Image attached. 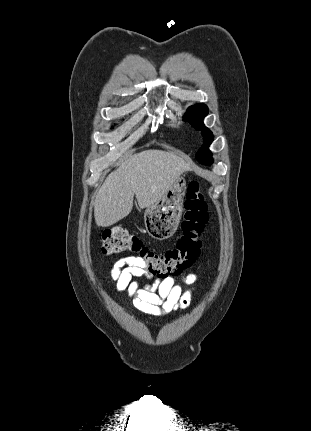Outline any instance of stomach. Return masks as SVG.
Instances as JSON below:
<instances>
[{
    "instance_id": "stomach-1",
    "label": "stomach",
    "mask_w": 311,
    "mask_h": 431,
    "mask_svg": "<svg viewBox=\"0 0 311 431\" xmlns=\"http://www.w3.org/2000/svg\"><path fill=\"white\" fill-rule=\"evenodd\" d=\"M186 180L179 176L163 198L144 212V223L148 235L154 239H168L174 235L183 214Z\"/></svg>"
}]
</instances>
